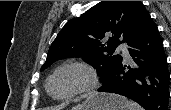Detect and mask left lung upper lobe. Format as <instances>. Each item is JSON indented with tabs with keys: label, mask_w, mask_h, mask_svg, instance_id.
Wrapping results in <instances>:
<instances>
[{
	"label": "left lung upper lobe",
	"mask_w": 171,
	"mask_h": 110,
	"mask_svg": "<svg viewBox=\"0 0 171 110\" xmlns=\"http://www.w3.org/2000/svg\"><path fill=\"white\" fill-rule=\"evenodd\" d=\"M149 16L141 1L99 2L66 23L51 44L40 71L61 58L84 57L104 83L122 61L120 55H113L116 47L129 44ZM106 35H111L108 41Z\"/></svg>",
	"instance_id": "1"
}]
</instances>
